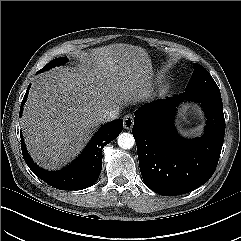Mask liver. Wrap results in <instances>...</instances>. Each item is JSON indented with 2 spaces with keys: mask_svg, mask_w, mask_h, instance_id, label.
I'll return each mask as SVG.
<instances>
[{
  "mask_svg": "<svg viewBox=\"0 0 241 241\" xmlns=\"http://www.w3.org/2000/svg\"><path fill=\"white\" fill-rule=\"evenodd\" d=\"M153 76L146 50L122 43L94 49L71 72L39 74L22 116L32 159L48 170L70 162L102 123L101 114L152 98Z\"/></svg>",
  "mask_w": 241,
  "mask_h": 241,
  "instance_id": "obj_1",
  "label": "liver"
}]
</instances>
